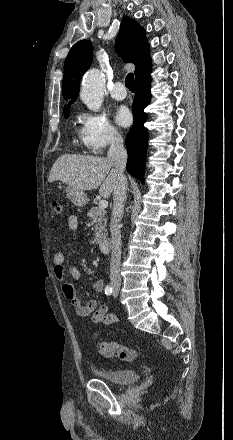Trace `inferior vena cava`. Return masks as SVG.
Here are the masks:
<instances>
[{"instance_id":"1","label":"inferior vena cava","mask_w":233,"mask_h":440,"mask_svg":"<svg viewBox=\"0 0 233 440\" xmlns=\"http://www.w3.org/2000/svg\"><path fill=\"white\" fill-rule=\"evenodd\" d=\"M108 160L114 166L117 180L113 192V209L110 222L111 232V261H110V281L112 285H120V262H121V234L120 221L124 212V201L126 198L127 179L124 175L127 151L123 146V139L118 133H114L111 138L108 151Z\"/></svg>"}]
</instances>
